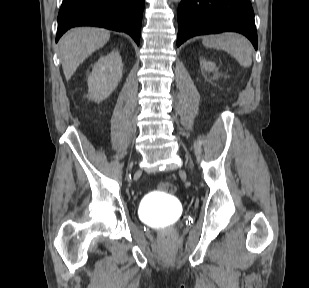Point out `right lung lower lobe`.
Instances as JSON below:
<instances>
[{
	"label": "right lung lower lobe",
	"instance_id": "1",
	"mask_svg": "<svg viewBox=\"0 0 309 288\" xmlns=\"http://www.w3.org/2000/svg\"><path fill=\"white\" fill-rule=\"evenodd\" d=\"M144 0H63L56 42L75 26H98L126 32L139 45Z\"/></svg>",
	"mask_w": 309,
	"mask_h": 288
}]
</instances>
